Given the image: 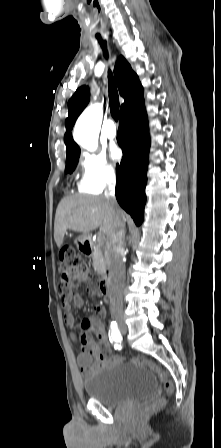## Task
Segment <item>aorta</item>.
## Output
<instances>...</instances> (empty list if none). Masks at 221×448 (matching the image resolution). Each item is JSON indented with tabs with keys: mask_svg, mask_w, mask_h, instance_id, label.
Returning a JSON list of instances; mask_svg holds the SVG:
<instances>
[{
	"mask_svg": "<svg viewBox=\"0 0 221 448\" xmlns=\"http://www.w3.org/2000/svg\"><path fill=\"white\" fill-rule=\"evenodd\" d=\"M101 122V106L98 104L89 106L76 121L73 132L74 140L88 151L96 150Z\"/></svg>",
	"mask_w": 221,
	"mask_h": 448,
	"instance_id": "1",
	"label": "aorta"
}]
</instances>
